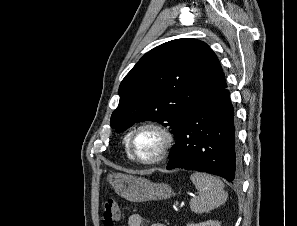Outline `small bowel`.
<instances>
[{
    "label": "small bowel",
    "instance_id": "1",
    "mask_svg": "<svg viewBox=\"0 0 297 226\" xmlns=\"http://www.w3.org/2000/svg\"><path fill=\"white\" fill-rule=\"evenodd\" d=\"M128 226H148L145 219L139 214H132L128 218ZM150 226H166L163 223H155Z\"/></svg>",
    "mask_w": 297,
    "mask_h": 226
}]
</instances>
